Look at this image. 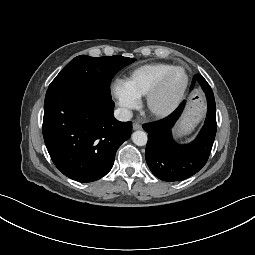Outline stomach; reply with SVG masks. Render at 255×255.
Segmentation results:
<instances>
[{"label": "stomach", "instance_id": "obj_1", "mask_svg": "<svg viewBox=\"0 0 255 255\" xmlns=\"http://www.w3.org/2000/svg\"><path fill=\"white\" fill-rule=\"evenodd\" d=\"M204 112L203 97L199 92H194L189 99L186 111L175 128L177 138H182L192 132Z\"/></svg>", "mask_w": 255, "mask_h": 255}]
</instances>
